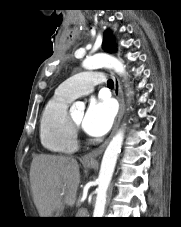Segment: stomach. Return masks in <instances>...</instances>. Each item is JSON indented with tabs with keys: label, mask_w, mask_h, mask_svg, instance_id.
I'll use <instances>...</instances> for the list:
<instances>
[{
	"label": "stomach",
	"mask_w": 181,
	"mask_h": 227,
	"mask_svg": "<svg viewBox=\"0 0 181 227\" xmlns=\"http://www.w3.org/2000/svg\"><path fill=\"white\" fill-rule=\"evenodd\" d=\"M87 167H92V164H86Z\"/></svg>",
	"instance_id": "0dacf381"
}]
</instances>
